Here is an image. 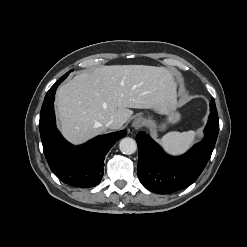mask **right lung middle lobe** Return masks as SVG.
<instances>
[{
  "mask_svg": "<svg viewBox=\"0 0 247 247\" xmlns=\"http://www.w3.org/2000/svg\"><path fill=\"white\" fill-rule=\"evenodd\" d=\"M70 72H71V71H69L68 73H66L65 75H63V76L60 78V80L57 81L55 84L57 85V84L61 83V82L68 76V74H69ZM48 95H49V91L47 92L45 98H47Z\"/></svg>",
  "mask_w": 247,
  "mask_h": 247,
  "instance_id": "obj_1",
  "label": "right lung middle lobe"
}]
</instances>
